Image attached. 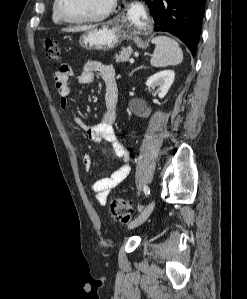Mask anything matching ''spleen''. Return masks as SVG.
<instances>
[{"label": "spleen", "instance_id": "1", "mask_svg": "<svg viewBox=\"0 0 247 299\" xmlns=\"http://www.w3.org/2000/svg\"><path fill=\"white\" fill-rule=\"evenodd\" d=\"M155 44L150 63L153 67H167L170 65H178L183 60V53L179 44L166 36H157L152 39Z\"/></svg>", "mask_w": 247, "mask_h": 299}]
</instances>
